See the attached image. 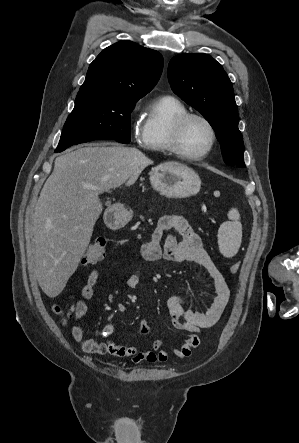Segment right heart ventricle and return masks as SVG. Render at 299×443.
<instances>
[{
  "label": "right heart ventricle",
  "mask_w": 299,
  "mask_h": 443,
  "mask_svg": "<svg viewBox=\"0 0 299 443\" xmlns=\"http://www.w3.org/2000/svg\"><path fill=\"white\" fill-rule=\"evenodd\" d=\"M187 112L185 105L175 97L162 96L149 106L140 133L141 146L153 152H172L171 127L175 118Z\"/></svg>",
  "instance_id": "obj_1"
}]
</instances>
